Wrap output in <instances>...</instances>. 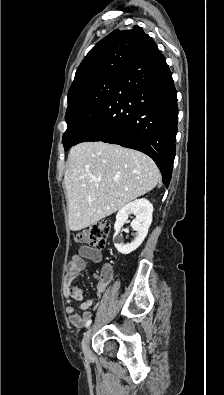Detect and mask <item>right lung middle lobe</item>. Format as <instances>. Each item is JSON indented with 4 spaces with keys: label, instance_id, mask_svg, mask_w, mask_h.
<instances>
[{
    "label": "right lung middle lobe",
    "instance_id": "1",
    "mask_svg": "<svg viewBox=\"0 0 224 395\" xmlns=\"http://www.w3.org/2000/svg\"><path fill=\"white\" fill-rule=\"evenodd\" d=\"M120 78L121 75L106 76L68 94L65 116L67 130L62 139L65 150L75 145L91 120L103 108Z\"/></svg>",
    "mask_w": 224,
    "mask_h": 395
}]
</instances>
